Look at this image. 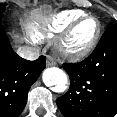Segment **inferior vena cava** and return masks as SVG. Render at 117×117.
<instances>
[{
	"instance_id": "inferior-vena-cava-1",
	"label": "inferior vena cava",
	"mask_w": 117,
	"mask_h": 117,
	"mask_svg": "<svg viewBox=\"0 0 117 117\" xmlns=\"http://www.w3.org/2000/svg\"><path fill=\"white\" fill-rule=\"evenodd\" d=\"M17 54L24 59L35 60L39 57L40 52L37 48L22 46L17 49Z\"/></svg>"
}]
</instances>
